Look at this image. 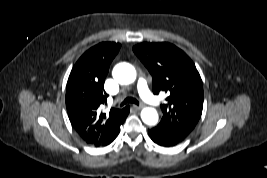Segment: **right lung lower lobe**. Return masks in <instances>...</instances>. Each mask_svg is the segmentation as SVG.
<instances>
[{"label": "right lung lower lobe", "instance_id": "98d812e1", "mask_svg": "<svg viewBox=\"0 0 267 178\" xmlns=\"http://www.w3.org/2000/svg\"><path fill=\"white\" fill-rule=\"evenodd\" d=\"M129 114V107L126 108L125 116L117 124L110 127L99 139L89 141L88 144L94 145L96 147H103L109 145L119 134L120 126L125 121Z\"/></svg>", "mask_w": 267, "mask_h": 178}]
</instances>
